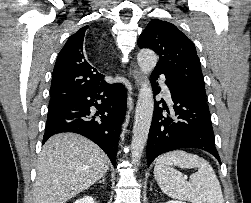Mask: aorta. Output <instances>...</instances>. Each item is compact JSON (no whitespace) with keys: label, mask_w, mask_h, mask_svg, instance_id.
<instances>
[{"label":"aorta","mask_w":251,"mask_h":203,"mask_svg":"<svg viewBox=\"0 0 251 203\" xmlns=\"http://www.w3.org/2000/svg\"><path fill=\"white\" fill-rule=\"evenodd\" d=\"M137 61L145 76L138 94L133 126L131 157L134 164H138L141 158L152 121L154 99L148 76L157 64V55L150 49H143L139 51Z\"/></svg>","instance_id":"obj_1"}]
</instances>
